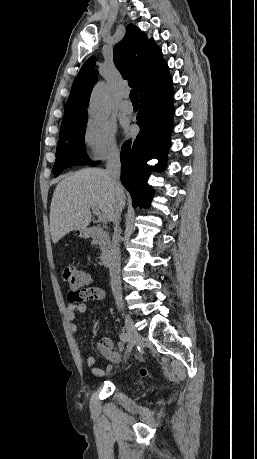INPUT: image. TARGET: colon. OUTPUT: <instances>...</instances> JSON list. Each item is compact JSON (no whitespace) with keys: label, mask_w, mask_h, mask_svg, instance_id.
<instances>
[{"label":"colon","mask_w":257,"mask_h":459,"mask_svg":"<svg viewBox=\"0 0 257 459\" xmlns=\"http://www.w3.org/2000/svg\"><path fill=\"white\" fill-rule=\"evenodd\" d=\"M63 279L70 287L77 290V294L74 298L75 301L88 299L90 294L85 287V285L89 282L88 273L74 266H66L63 269ZM140 375H148V370L146 368H142L140 370Z\"/></svg>","instance_id":"1"}]
</instances>
